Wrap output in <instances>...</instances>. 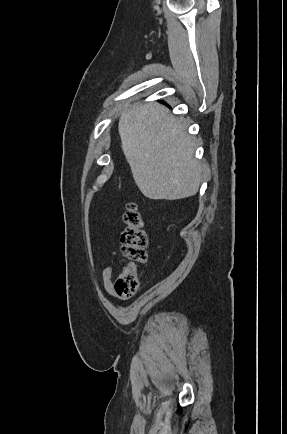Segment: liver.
<instances>
[{
	"mask_svg": "<svg viewBox=\"0 0 287 434\" xmlns=\"http://www.w3.org/2000/svg\"><path fill=\"white\" fill-rule=\"evenodd\" d=\"M183 121L159 103L134 105L122 112L118 131L123 152L141 193L154 200L194 196L202 168Z\"/></svg>",
	"mask_w": 287,
	"mask_h": 434,
	"instance_id": "liver-1",
	"label": "liver"
}]
</instances>
